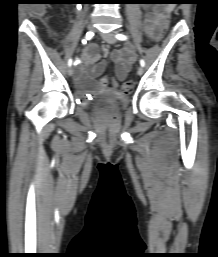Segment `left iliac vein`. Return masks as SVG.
<instances>
[{
	"instance_id": "4c4485c4",
	"label": "left iliac vein",
	"mask_w": 218,
	"mask_h": 257,
	"mask_svg": "<svg viewBox=\"0 0 218 257\" xmlns=\"http://www.w3.org/2000/svg\"><path fill=\"white\" fill-rule=\"evenodd\" d=\"M101 37L103 38V40L109 44H114L116 43V38L114 36L113 33H101ZM144 72L143 70V67L142 66H139L138 67V70H137V73L138 75H142Z\"/></svg>"
}]
</instances>
